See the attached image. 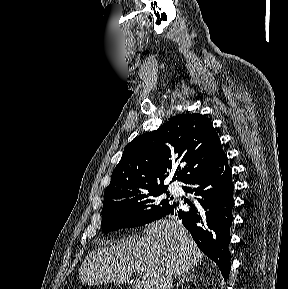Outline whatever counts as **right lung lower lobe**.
I'll use <instances>...</instances> for the list:
<instances>
[{
	"instance_id": "98d812e1",
	"label": "right lung lower lobe",
	"mask_w": 288,
	"mask_h": 289,
	"mask_svg": "<svg viewBox=\"0 0 288 289\" xmlns=\"http://www.w3.org/2000/svg\"><path fill=\"white\" fill-rule=\"evenodd\" d=\"M184 183L187 184L184 190L194 194L197 202L188 203L189 211H183L177 203L166 215L179 216L197 246L218 265L226 280L231 267L228 246L234 206L232 171L227 155L222 152Z\"/></svg>"
}]
</instances>
